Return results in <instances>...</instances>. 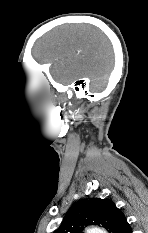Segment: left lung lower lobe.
Segmentation results:
<instances>
[{"instance_id":"0a47b994","label":"left lung lower lobe","mask_w":148,"mask_h":233,"mask_svg":"<svg viewBox=\"0 0 148 233\" xmlns=\"http://www.w3.org/2000/svg\"><path fill=\"white\" fill-rule=\"evenodd\" d=\"M126 233H132V230H131V228H130V229H128V231H127Z\"/></svg>"}]
</instances>
